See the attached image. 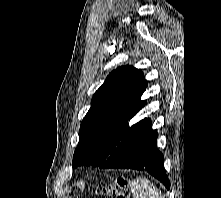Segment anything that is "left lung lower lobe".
<instances>
[{
    "instance_id": "obj_1",
    "label": "left lung lower lobe",
    "mask_w": 221,
    "mask_h": 198,
    "mask_svg": "<svg viewBox=\"0 0 221 198\" xmlns=\"http://www.w3.org/2000/svg\"><path fill=\"white\" fill-rule=\"evenodd\" d=\"M157 136V132L152 130L151 121L148 119L106 159L100 168L145 170L169 189V180L164 169V157L156 147Z\"/></svg>"
}]
</instances>
